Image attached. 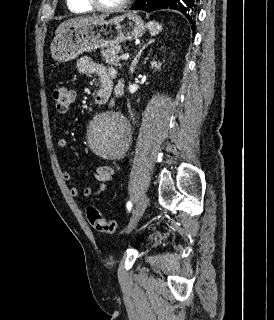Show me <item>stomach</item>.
Masks as SVG:
<instances>
[{
	"instance_id": "obj_1",
	"label": "stomach",
	"mask_w": 274,
	"mask_h": 320,
	"mask_svg": "<svg viewBox=\"0 0 274 320\" xmlns=\"http://www.w3.org/2000/svg\"><path fill=\"white\" fill-rule=\"evenodd\" d=\"M146 30V24L137 14H123L102 22L64 28L56 34L51 44L52 58L55 62H69L84 52H94L104 46H118L126 40H137Z\"/></svg>"
}]
</instances>
